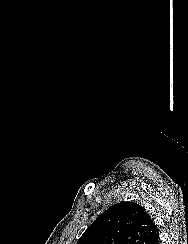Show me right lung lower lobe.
<instances>
[{"instance_id":"obj_1","label":"right lung lower lobe","mask_w":188,"mask_h":244,"mask_svg":"<svg viewBox=\"0 0 188 244\" xmlns=\"http://www.w3.org/2000/svg\"><path fill=\"white\" fill-rule=\"evenodd\" d=\"M159 235H157L156 237H154L152 239V241L149 244H159Z\"/></svg>"}]
</instances>
